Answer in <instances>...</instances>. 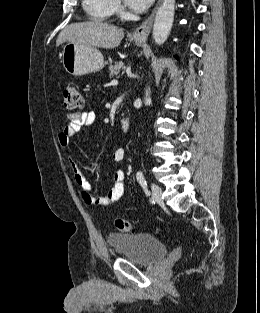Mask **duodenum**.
<instances>
[{"instance_id": "duodenum-1", "label": "duodenum", "mask_w": 260, "mask_h": 313, "mask_svg": "<svg viewBox=\"0 0 260 313\" xmlns=\"http://www.w3.org/2000/svg\"><path fill=\"white\" fill-rule=\"evenodd\" d=\"M121 127L124 133H129L130 131V120L128 117H123L121 120Z\"/></svg>"}]
</instances>
